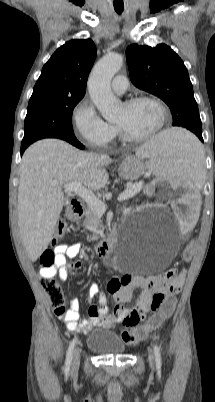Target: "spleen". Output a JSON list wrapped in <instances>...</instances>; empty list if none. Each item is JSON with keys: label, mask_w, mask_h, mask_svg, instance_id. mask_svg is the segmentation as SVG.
<instances>
[{"label": "spleen", "mask_w": 215, "mask_h": 402, "mask_svg": "<svg viewBox=\"0 0 215 402\" xmlns=\"http://www.w3.org/2000/svg\"><path fill=\"white\" fill-rule=\"evenodd\" d=\"M137 155L149 158L146 167L157 177L184 178L189 184L204 180L203 143L190 128H165L143 144Z\"/></svg>", "instance_id": "spleen-1"}]
</instances>
